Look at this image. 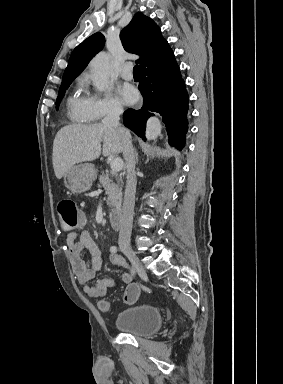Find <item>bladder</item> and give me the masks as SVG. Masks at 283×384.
Here are the masks:
<instances>
[{"label":"bladder","mask_w":283,"mask_h":384,"mask_svg":"<svg viewBox=\"0 0 283 384\" xmlns=\"http://www.w3.org/2000/svg\"><path fill=\"white\" fill-rule=\"evenodd\" d=\"M164 317L161 309L151 303L134 304L117 313L113 326L122 333L146 337L161 328Z\"/></svg>","instance_id":"obj_1"}]
</instances>
